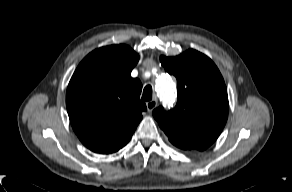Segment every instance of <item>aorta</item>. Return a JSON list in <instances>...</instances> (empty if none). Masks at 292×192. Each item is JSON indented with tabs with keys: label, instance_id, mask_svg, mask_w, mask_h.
Here are the masks:
<instances>
[{
	"label": "aorta",
	"instance_id": "obj_1",
	"mask_svg": "<svg viewBox=\"0 0 292 192\" xmlns=\"http://www.w3.org/2000/svg\"><path fill=\"white\" fill-rule=\"evenodd\" d=\"M156 90L160 98L166 103H170L175 98V88L168 76H163L158 80Z\"/></svg>",
	"mask_w": 292,
	"mask_h": 192
}]
</instances>
